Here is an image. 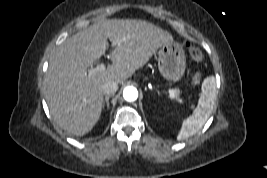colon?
Wrapping results in <instances>:
<instances>
[{"label":"colon","mask_w":267,"mask_h":178,"mask_svg":"<svg viewBox=\"0 0 267 178\" xmlns=\"http://www.w3.org/2000/svg\"><path fill=\"white\" fill-rule=\"evenodd\" d=\"M186 47H187V50H188L190 57L194 61L199 62L202 60V58H203L202 52L197 46H195L191 43H186ZM200 80H201V75L199 73H197L194 75L192 81H193V84L197 85L200 82Z\"/></svg>","instance_id":"1"}]
</instances>
